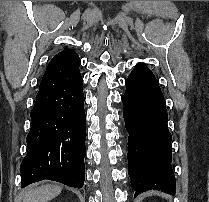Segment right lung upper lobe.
I'll list each match as a JSON object with an SVG mask.
<instances>
[{"mask_svg": "<svg viewBox=\"0 0 209 202\" xmlns=\"http://www.w3.org/2000/svg\"><path fill=\"white\" fill-rule=\"evenodd\" d=\"M60 55L66 56L69 59L68 60L70 63L69 68H68L69 74L79 72L80 59L76 52L66 49L60 52L59 54H57L56 56H60Z\"/></svg>", "mask_w": 209, "mask_h": 202, "instance_id": "cb5924a9", "label": "right lung upper lobe"}]
</instances>
